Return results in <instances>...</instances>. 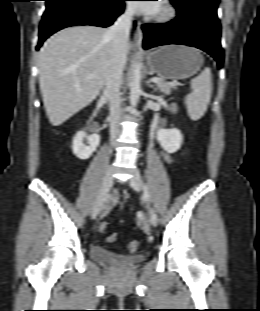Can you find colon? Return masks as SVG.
<instances>
[{"label":"colon","mask_w":260,"mask_h":311,"mask_svg":"<svg viewBox=\"0 0 260 311\" xmlns=\"http://www.w3.org/2000/svg\"><path fill=\"white\" fill-rule=\"evenodd\" d=\"M108 225H109L108 222H102L100 224L99 230L101 232H104L108 228ZM117 238H118V236L116 233L110 234L107 237V242L108 243H114L117 240ZM139 246H140L139 242L136 240H133L128 244V249L130 252H136L139 249Z\"/></svg>","instance_id":"colon-1"}]
</instances>
